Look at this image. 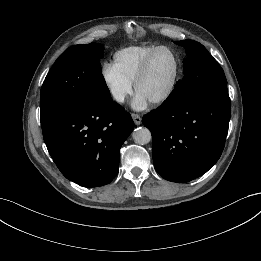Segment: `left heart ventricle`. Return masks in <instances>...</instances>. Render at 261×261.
I'll return each instance as SVG.
<instances>
[{"mask_svg":"<svg viewBox=\"0 0 261 261\" xmlns=\"http://www.w3.org/2000/svg\"><path fill=\"white\" fill-rule=\"evenodd\" d=\"M174 73L173 55L160 51L151 62L148 74L138 88L139 94L148 101L162 94L169 86Z\"/></svg>","mask_w":261,"mask_h":261,"instance_id":"b2bd125f","label":"left heart ventricle"}]
</instances>
